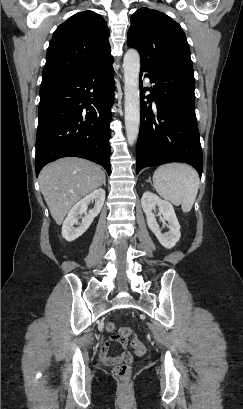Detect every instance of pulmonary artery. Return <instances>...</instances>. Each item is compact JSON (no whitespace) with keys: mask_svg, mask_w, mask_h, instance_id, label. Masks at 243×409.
<instances>
[{"mask_svg":"<svg viewBox=\"0 0 243 409\" xmlns=\"http://www.w3.org/2000/svg\"><path fill=\"white\" fill-rule=\"evenodd\" d=\"M145 81H146V82H148V79H147V78H145Z\"/></svg>","mask_w":243,"mask_h":409,"instance_id":"1","label":"pulmonary artery"}]
</instances>
